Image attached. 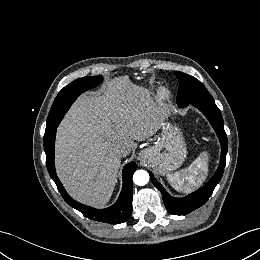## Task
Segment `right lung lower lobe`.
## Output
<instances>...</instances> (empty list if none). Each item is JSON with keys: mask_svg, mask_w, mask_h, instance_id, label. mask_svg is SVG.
Here are the masks:
<instances>
[{"mask_svg": "<svg viewBox=\"0 0 260 260\" xmlns=\"http://www.w3.org/2000/svg\"><path fill=\"white\" fill-rule=\"evenodd\" d=\"M54 143H55V130L47 132L44 136V150L46 153V163L51 178L56 183L60 193L65 201L75 209L79 210L86 217L95 221L105 223H123L125 222L132 211V175L136 170L134 162L128 163L123 168V188L117 202L106 209L97 210L74 201L65 191L59 179L56 176L54 166Z\"/></svg>", "mask_w": 260, "mask_h": 260, "instance_id": "right-lung-lower-lobe-1", "label": "right lung lower lobe"}]
</instances>
